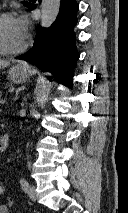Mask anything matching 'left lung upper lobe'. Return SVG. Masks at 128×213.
<instances>
[{"mask_svg":"<svg viewBox=\"0 0 128 213\" xmlns=\"http://www.w3.org/2000/svg\"><path fill=\"white\" fill-rule=\"evenodd\" d=\"M24 5L27 6V7H29L30 3L24 2Z\"/></svg>","mask_w":128,"mask_h":213,"instance_id":"5c2ea615","label":"left lung upper lobe"}]
</instances>
